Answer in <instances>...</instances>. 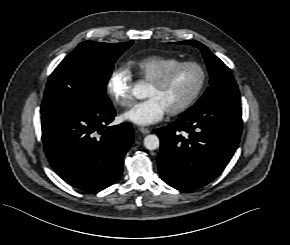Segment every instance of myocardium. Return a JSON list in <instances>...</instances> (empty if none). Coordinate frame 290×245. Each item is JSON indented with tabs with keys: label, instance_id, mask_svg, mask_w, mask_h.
I'll return each instance as SVG.
<instances>
[{
	"label": "myocardium",
	"instance_id": "obj_1",
	"mask_svg": "<svg viewBox=\"0 0 290 245\" xmlns=\"http://www.w3.org/2000/svg\"><path fill=\"white\" fill-rule=\"evenodd\" d=\"M184 67L197 68L201 73V81H200V84L198 85L197 89L193 92V94L185 102H183L178 107H175V108L167 111V113L169 115H172V116L179 115V114L185 112L186 110H188L200 97V95L202 94V92L206 86V83H207V72H206L205 68L197 62H190V61L178 62L172 66L167 67L166 69H164L162 72H160L157 76H155L153 79H151L149 81V83L152 85L162 86L168 81V79L170 78L172 73H174L176 70H178L180 68H184Z\"/></svg>",
	"mask_w": 290,
	"mask_h": 245
}]
</instances>
